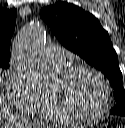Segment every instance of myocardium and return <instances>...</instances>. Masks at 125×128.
Masks as SVG:
<instances>
[{"mask_svg": "<svg viewBox=\"0 0 125 128\" xmlns=\"http://www.w3.org/2000/svg\"><path fill=\"white\" fill-rule=\"evenodd\" d=\"M81 71H88L93 73L95 76L98 77V79L101 81L103 85L105 102L103 107L98 112L93 114H82V113L76 112L67 105V103L64 101V99L59 93L52 92L50 95L56 108L69 121L78 122V123H88V122H93L102 118L109 111L111 106L112 96H111V89H110L109 82L106 79V77L103 75V73L100 72L98 69L86 64H78L62 71L58 79L61 84H65L75 74Z\"/></svg>", "mask_w": 125, "mask_h": 128, "instance_id": "myocardium-1", "label": "myocardium"}]
</instances>
